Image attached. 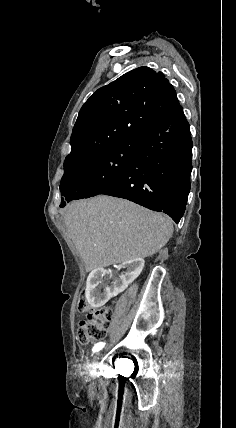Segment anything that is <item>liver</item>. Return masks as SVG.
Returning a JSON list of instances; mask_svg holds the SVG:
<instances>
[{
	"label": "liver",
	"instance_id": "liver-1",
	"mask_svg": "<svg viewBox=\"0 0 236 428\" xmlns=\"http://www.w3.org/2000/svg\"><path fill=\"white\" fill-rule=\"evenodd\" d=\"M63 218L86 272L153 256L173 234L168 216L111 196L71 202Z\"/></svg>",
	"mask_w": 236,
	"mask_h": 428
}]
</instances>
